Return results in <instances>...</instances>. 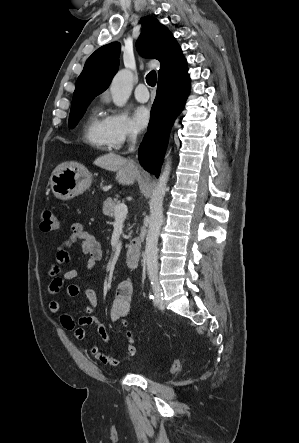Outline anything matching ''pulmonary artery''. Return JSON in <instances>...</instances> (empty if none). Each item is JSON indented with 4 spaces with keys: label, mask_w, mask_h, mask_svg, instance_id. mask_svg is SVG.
Returning <instances> with one entry per match:
<instances>
[{
    "label": "pulmonary artery",
    "mask_w": 299,
    "mask_h": 443,
    "mask_svg": "<svg viewBox=\"0 0 299 443\" xmlns=\"http://www.w3.org/2000/svg\"><path fill=\"white\" fill-rule=\"evenodd\" d=\"M135 98L139 102H147L149 99V92L144 83H140L135 89Z\"/></svg>",
    "instance_id": "e3ab8cb5"
}]
</instances>
